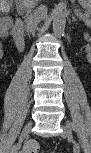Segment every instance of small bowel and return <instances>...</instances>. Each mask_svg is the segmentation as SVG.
<instances>
[{"mask_svg":"<svg viewBox=\"0 0 91 153\" xmlns=\"http://www.w3.org/2000/svg\"><path fill=\"white\" fill-rule=\"evenodd\" d=\"M0 34H1V36H6V35H7V31L4 30V29L1 27Z\"/></svg>","mask_w":91,"mask_h":153,"instance_id":"c3829d8e","label":"small bowel"}]
</instances>
